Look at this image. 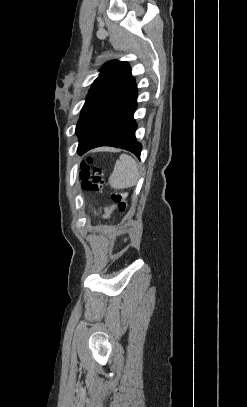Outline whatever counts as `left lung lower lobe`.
I'll use <instances>...</instances> for the list:
<instances>
[{"instance_id":"obj_1","label":"left lung lower lobe","mask_w":247,"mask_h":407,"mask_svg":"<svg viewBox=\"0 0 247 407\" xmlns=\"http://www.w3.org/2000/svg\"><path fill=\"white\" fill-rule=\"evenodd\" d=\"M137 86L133 83L100 114L78 146V153L99 146L126 149L140 158L142 145L136 140L137 124L133 114L137 107Z\"/></svg>"}]
</instances>
